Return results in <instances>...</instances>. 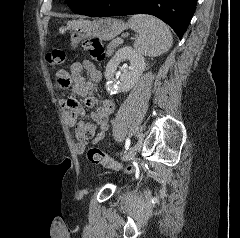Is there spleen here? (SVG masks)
<instances>
[{"instance_id":"spleen-1","label":"spleen","mask_w":240,"mask_h":238,"mask_svg":"<svg viewBox=\"0 0 240 238\" xmlns=\"http://www.w3.org/2000/svg\"><path fill=\"white\" fill-rule=\"evenodd\" d=\"M128 25L138 34L134 47L142 55L156 57L172 46L173 38L168 27L153 16L134 15L128 20Z\"/></svg>"}]
</instances>
